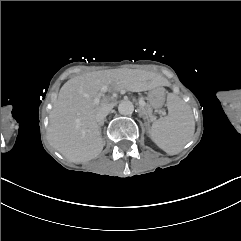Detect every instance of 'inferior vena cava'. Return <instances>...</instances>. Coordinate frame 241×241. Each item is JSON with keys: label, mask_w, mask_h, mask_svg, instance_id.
Segmentation results:
<instances>
[{"label": "inferior vena cava", "mask_w": 241, "mask_h": 241, "mask_svg": "<svg viewBox=\"0 0 241 241\" xmlns=\"http://www.w3.org/2000/svg\"><path fill=\"white\" fill-rule=\"evenodd\" d=\"M111 111V109H105L102 111H99L96 115V121L98 122L99 125H103L104 124V119L106 118V116L109 114V112Z\"/></svg>", "instance_id": "inferior-vena-cava-1"}]
</instances>
